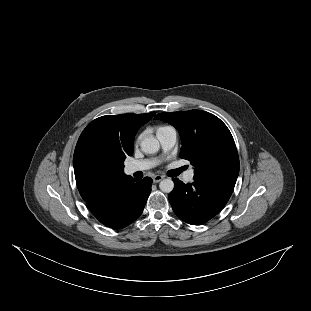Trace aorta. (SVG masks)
I'll return each instance as SVG.
<instances>
[{"label": "aorta", "mask_w": 311, "mask_h": 311, "mask_svg": "<svg viewBox=\"0 0 311 311\" xmlns=\"http://www.w3.org/2000/svg\"><path fill=\"white\" fill-rule=\"evenodd\" d=\"M140 148L145 154H153L159 150V141L154 137H144L141 140ZM161 191L170 193L174 189V182L171 179H164L160 182Z\"/></svg>", "instance_id": "1"}]
</instances>
